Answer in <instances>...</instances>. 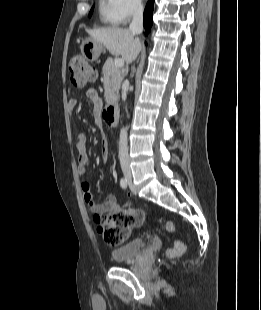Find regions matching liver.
<instances>
[{
    "label": "liver",
    "instance_id": "6515ba94",
    "mask_svg": "<svg viewBox=\"0 0 261 310\" xmlns=\"http://www.w3.org/2000/svg\"><path fill=\"white\" fill-rule=\"evenodd\" d=\"M88 34L97 42L104 45L114 56H122V59L130 64L139 55L142 44L129 29L124 28H102L88 30Z\"/></svg>",
    "mask_w": 261,
    "mask_h": 310
}]
</instances>
